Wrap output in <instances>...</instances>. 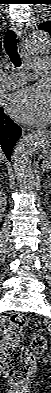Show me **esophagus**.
Segmentation results:
<instances>
[{
    "label": "esophagus",
    "instance_id": "esophagus-1",
    "mask_svg": "<svg viewBox=\"0 0 51 393\" xmlns=\"http://www.w3.org/2000/svg\"><path fill=\"white\" fill-rule=\"evenodd\" d=\"M12 30H14L18 37L22 35V28L19 24H12Z\"/></svg>",
    "mask_w": 51,
    "mask_h": 393
}]
</instances>
